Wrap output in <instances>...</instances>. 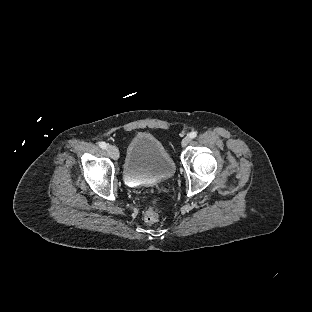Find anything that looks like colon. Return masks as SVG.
Returning <instances> with one entry per match:
<instances>
[{"mask_svg": "<svg viewBox=\"0 0 312 312\" xmlns=\"http://www.w3.org/2000/svg\"><path fill=\"white\" fill-rule=\"evenodd\" d=\"M158 214L154 207H148L144 213V220L149 223L153 224L158 221Z\"/></svg>", "mask_w": 312, "mask_h": 312, "instance_id": "colon-1", "label": "colon"}]
</instances>
